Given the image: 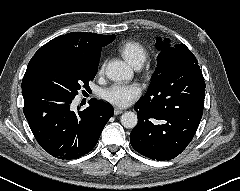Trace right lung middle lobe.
<instances>
[{
    "label": "right lung middle lobe",
    "mask_w": 240,
    "mask_h": 191,
    "mask_svg": "<svg viewBox=\"0 0 240 191\" xmlns=\"http://www.w3.org/2000/svg\"><path fill=\"white\" fill-rule=\"evenodd\" d=\"M98 64L55 57L42 59L25 73L22 91H48L74 98L82 86L89 87L88 82L94 79Z\"/></svg>",
    "instance_id": "dd1d6c3e"
}]
</instances>
